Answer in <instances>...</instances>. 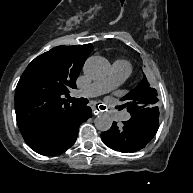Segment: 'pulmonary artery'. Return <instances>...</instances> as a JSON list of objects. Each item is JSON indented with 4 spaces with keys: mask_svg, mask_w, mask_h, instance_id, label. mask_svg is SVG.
Returning a JSON list of instances; mask_svg holds the SVG:
<instances>
[{
    "mask_svg": "<svg viewBox=\"0 0 193 193\" xmlns=\"http://www.w3.org/2000/svg\"><path fill=\"white\" fill-rule=\"evenodd\" d=\"M131 73L129 64L123 61H116L112 65V73L108 81L96 82L82 90L85 96L96 97L107 93L109 89L115 88L124 82Z\"/></svg>",
    "mask_w": 193,
    "mask_h": 193,
    "instance_id": "obj_1",
    "label": "pulmonary artery"
}]
</instances>
